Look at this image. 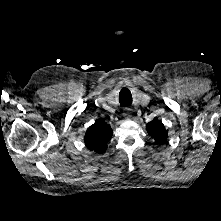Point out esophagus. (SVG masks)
<instances>
[{
    "mask_svg": "<svg viewBox=\"0 0 221 221\" xmlns=\"http://www.w3.org/2000/svg\"><path fill=\"white\" fill-rule=\"evenodd\" d=\"M123 115L126 119H130L132 117V111L130 108H124Z\"/></svg>",
    "mask_w": 221,
    "mask_h": 221,
    "instance_id": "34e87169",
    "label": "esophagus"
}]
</instances>
